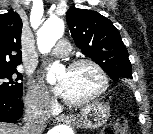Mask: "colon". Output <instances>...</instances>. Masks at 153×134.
Segmentation results:
<instances>
[{"mask_svg": "<svg viewBox=\"0 0 153 134\" xmlns=\"http://www.w3.org/2000/svg\"><path fill=\"white\" fill-rule=\"evenodd\" d=\"M101 134H126V125L120 121L106 126Z\"/></svg>", "mask_w": 153, "mask_h": 134, "instance_id": "1", "label": "colon"}]
</instances>
